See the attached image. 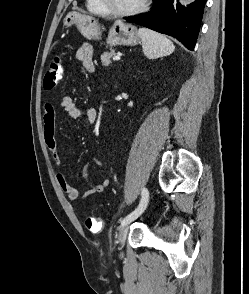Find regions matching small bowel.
Instances as JSON below:
<instances>
[{"label": "small bowel", "mask_w": 249, "mask_h": 294, "mask_svg": "<svg viewBox=\"0 0 249 294\" xmlns=\"http://www.w3.org/2000/svg\"><path fill=\"white\" fill-rule=\"evenodd\" d=\"M75 58L83 64L85 69L89 72L95 71V63L93 60V48L88 43L81 44L76 53ZM61 107L67 115L73 119H84L89 125L96 122L97 112L93 107H79L73 99L65 96L61 100ZM43 133L46 146L49 153L57 166H60L63 161V155L60 151L59 144L56 138V113L55 108L51 103H46L43 109ZM92 166L99 168L104 167V163L99 158H92L83 168L82 176L88 188L80 195L78 189L73 187L66 179L61 170L56 172V180L61 191L67 196L70 201L80 202L91 196L104 192L110 185V180L107 178L102 179L98 183L91 180L89 169Z\"/></svg>", "instance_id": "small-bowel-1"}]
</instances>
